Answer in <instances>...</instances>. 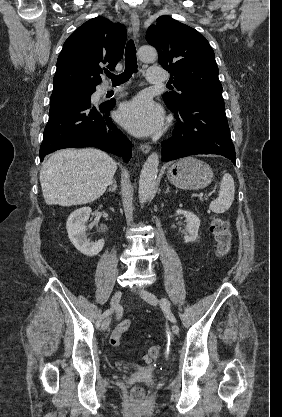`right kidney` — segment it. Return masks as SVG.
<instances>
[{
	"label": "right kidney",
	"mask_w": 282,
	"mask_h": 417,
	"mask_svg": "<svg viewBox=\"0 0 282 417\" xmlns=\"http://www.w3.org/2000/svg\"><path fill=\"white\" fill-rule=\"evenodd\" d=\"M90 213V206H82V209L73 211L67 219L66 229L68 237L77 251H80L86 257H95V255H98L102 251L104 239H100L96 243H90L89 239H87V235H85V223L88 221Z\"/></svg>",
	"instance_id": "right-kidney-1"
}]
</instances>
